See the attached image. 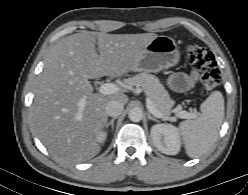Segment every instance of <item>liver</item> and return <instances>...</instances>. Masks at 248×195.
<instances>
[{
  "label": "liver",
  "mask_w": 248,
  "mask_h": 195,
  "mask_svg": "<svg viewBox=\"0 0 248 195\" xmlns=\"http://www.w3.org/2000/svg\"><path fill=\"white\" fill-rule=\"evenodd\" d=\"M156 37L154 33L82 31L51 48L35 91L31 119L37 136L56 160L80 163L99 153L96 135L107 123V103L118 100L124 105L128 97L120 92L93 93L89 79L122 77L134 71L141 51ZM80 101L85 102L83 108Z\"/></svg>",
  "instance_id": "6515ba94"
}]
</instances>
